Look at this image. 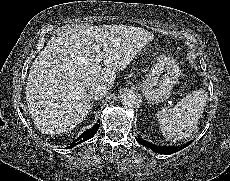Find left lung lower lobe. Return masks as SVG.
<instances>
[{
  "instance_id": "obj_1",
  "label": "left lung lower lobe",
  "mask_w": 230,
  "mask_h": 181,
  "mask_svg": "<svg viewBox=\"0 0 230 181\" xmlns=\"http://www.w3.org/2000/svg\"><path fill=\"white\" fill-rule=\"evenodd\" d=\"M136 140L143 146H146L150 149H152L154 152L156 153H160V154H173L177 151H180L182 150L183 148L187 147L191 142L183 145V146H180V147H161V146H157L155 144H152V143H149V142H146L145 140L141 139L139 136L136 137Z\"/></svg>"
}]
</instances>
